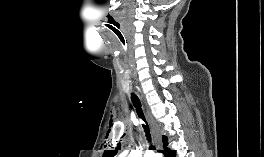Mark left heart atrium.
Returning a JSON list of instances; mask_svg holds the SVG:
<instances>
[{"label":"left heart atrium","mask_w":264,"mask_h":157,"mask_svg":"<svg viewBox=\"0 0 264 157\" xmlns=\"http://www.w3.org/2000/svg\"><path fill=\"white\" fill-rule=\"evenodd\" d=\"M149 157H155L154 155H152V156H149Z\"/></svg>","instance_id":"1"}]
</instances>
